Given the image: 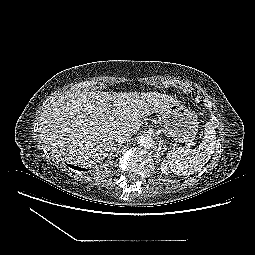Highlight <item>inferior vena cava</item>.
<instances>
[{"label": "inferior vena cava", "mask_w": 255, "mask_h": 255, "mask_svg": "<svg viewBox=\"0 0 255 255\" xmlns=\"http://www.w3.org/2000/svg\"><path fill=\"white\" fill-rule=\"evenodd\" d=\"M131 133L129 131H118L115 135V141L118 143H126L131 140Z\"/></svg>", "instance_id": "1"}]
</instances>
